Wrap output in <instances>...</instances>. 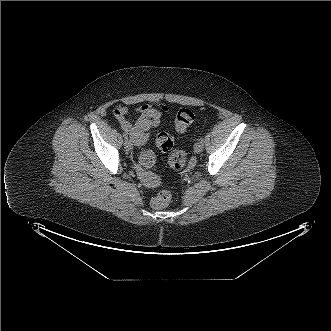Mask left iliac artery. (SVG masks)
I'll list each match as a JSON object with an SVG mask.
<instances>
[{"label":"left iliac artery","mask_w":331,"mask_h":331,"mask_svg":"<svg viewBox=\"0 0 331 331\" xmlns=\"http://www.w3.org/2000/svg\"><path fill=\"white\" fill-rule=\"evenodd\" d=\"M199 141H200L201 143H203V142H204V138L201 137V138L199 139Z\"/></svg>","instance_id":"obj_1"}]
</instances>
